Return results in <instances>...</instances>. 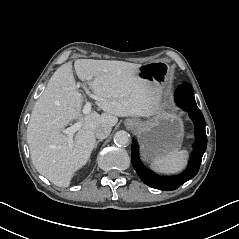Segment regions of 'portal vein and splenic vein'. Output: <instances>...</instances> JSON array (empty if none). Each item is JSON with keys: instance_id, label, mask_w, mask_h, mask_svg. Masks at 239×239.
I'll list each match as a JSON object with an SVG mask.
<instances>
[{"instance_id": "portal-vein-and-splenic-vein-1", "label": "portal vein and splenic vein", "mask_w": 239, "mask_h": 239, "mask_svg": "<svg viewBox=\"0 0 239 239\" xmlns=\"http://www.w3.org/2000/svg\"><path fill=\"white\" fill-rule=\"evenodd\" d=\"M89 79L90 78H88L87 80H89ZM75 87L82 88L84 93L87 95V97L89 99L87 102H85L84 107H83V112L85 114H88L91 111L93 99H97V96L91 92L89 87L86 85V82L77 81ZM79 128H80L79 124H74L73 126L62 129L61 132L63 134L69 135V138L72 139L74 133L77 132L79 130Z\"/></svg>"}]
</instances>
